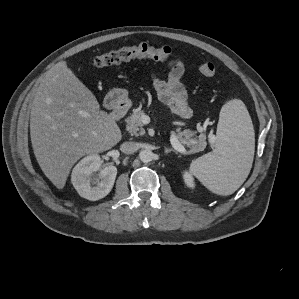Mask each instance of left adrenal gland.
I'll list each match as a JSON object with an SVG mask.
<instances>
[{"instance_id":"1","label":"left adrenal gland","mask_w":299,"mask_h":299,"mask_svg":"<svg viewBox=\"0 0 299 299\" xmlns=\"http://www.w3.org/2000/svg\"><path fill=\"white\" fill-rule=\"evenodd\" d=\"M164 152H165L166 154H168V153H170V152H174V153L177 154V151L174 150V149H172V148H165Z\"/></svg>"}]
</instances>
